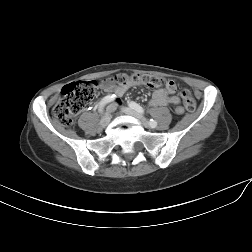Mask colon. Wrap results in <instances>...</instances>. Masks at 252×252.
Masks as SVG:
<instances>
[{
    "label": "colon",
    "instance_id": "obj_1",
    "mask_svg": "<svg viewBox=\"0 0 252 252\" xmlns=\"http://www.w3.org/2000/svg\"><path fill=\"white\" fill-rule=\"evenodd\" d=\"M108 81L119 86H125L129 83H142L153 88L167 87L170 90L176 88L173 81H166L161 77L149 74H117ZM97 88L98 84L95 81H79L65 86L61 98L53 108L55 120L66 127L71 126L74 117L95 97ZM180 94L186 110L194 111L196 101L191 93L182 89ZM177 112H180V110H177Z\"/></svg>",
    "mask_w": 252,
    "mask_h": 252
}]
</instances>
